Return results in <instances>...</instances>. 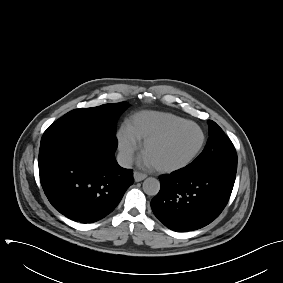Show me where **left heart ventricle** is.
I'll list each match as a JSON object with an SVG mask.
<instances>
[{"label": "left heart ventricle", "instance_id": "left-heart-ventricle-1", "mask_svg": "<svg viewBox=\"0 0 283 283\" xmlns=\"http://www.w3.org/2000/svg\"><path fill=\"white\" fill-rule=\"evenodd\" d=\"M201 135L192 125H183L162 141L150 144L144 156L155 166H170L185 160L196 149Z\"/></svg>", "mask_w": 283, "mask_h": 283}]
</instances>
